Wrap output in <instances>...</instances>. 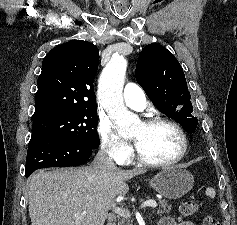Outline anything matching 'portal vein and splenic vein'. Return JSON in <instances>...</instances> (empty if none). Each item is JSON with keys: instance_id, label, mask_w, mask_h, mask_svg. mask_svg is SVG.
Listing matches in <instances>:
<instances>
[{"instance_id": "1", "label": "portal vein and splenic vein", "mask_w": 237, "mask_h": 225, "mask_svg": "<svg viewBox=\"0 0 237 225\" xmlns=\"http://www.w3.org/2000/svg\"><path fill=\"white\" fill-rule=\"evenodd\" d=\"M156 206L157 203L155 200H146L140 205V208H146V207L155 208ZM113 212L124 218H129L131 216L129 210L123 207H115Z\"/></svg>"}]
</instances>
